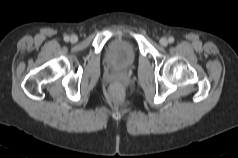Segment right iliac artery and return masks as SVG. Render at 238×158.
Returning <instances> with one entry per match:
<instances>
[{"instance_id": "obj_1", "label": "right iliac artery", "mask_w": 238, "mask_h": 158, "mask_svg": "<svg viewBox=\"0 0 238 158\" xmlns=\"http://www.w3.org/2000/svg\"><path fill=\"white\" fill-rule=\"evenodd\" d=\"M64 40H65V41H69V36H67V35L64 36Z\"/></svg>"}]
</instances>
